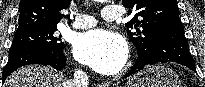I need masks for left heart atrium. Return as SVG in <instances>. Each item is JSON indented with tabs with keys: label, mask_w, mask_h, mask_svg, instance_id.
I'll return each mask as SVG.
<instances>
[{
	"label": "left heart atrium",
	"mask_w": 205,
	"mask_h": 87,
	"mask_svg": "<svg viewBox=\"0 0 205 87\" xmlns=\"http://www.w3.org/2000/svg\"><path fill=\"white\" fill-rule=\"evenodd\" d=\"M127 44L118 34L95 29L77 36L74 43L75 58L103 74H115L127 59Z\"/></svg>",
	"instance_id": "obj_1"
}]
</instances>
